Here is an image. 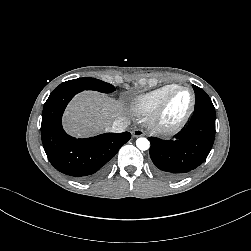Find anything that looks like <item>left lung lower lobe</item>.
Returning a JSON list of instances; mask_svg holds the SVG:
<instances>
[{
	"label": "left lung lower lobe",
	"mask_w": 251,
	"mask_h": 251,
	"mask_svg": "<svg viewBox=\"0 0 251 251\" xmlns=\"http://www.w3.org/2000/svg\"><path fill=\"white\" fill-rule=\"evenodd\" d=\"M174 140L150 139V157L157 174L179 179L207 158L215 138V112L195 110L187 127Z\"/></svg>",
	"instance_id": "0a47b994"
}]
</instances>
